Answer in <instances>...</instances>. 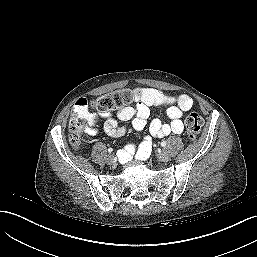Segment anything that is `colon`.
I'll return each instance as SVG.
<instances>
[{
    "instance_id": "obj_1",
    "label": "colon",
    "mask_w": 257,
    "mask_h": 257,
    "mask_svg": "<svg viewBox=\"0 0 257 257\" xmlns=\"http://www.w3.org/2000/svg\"><path fill=\"white\" fill-rule=\"evenodd\" d=\"M139 91L129 89L118 90L94 99L92 107L101 113H108L123 108L139 99ZM89 103L86 99H78L73 106V115L69 121L70 141L74 146L80 143L81 135L89 122ZM203 126V118L197 112H190L185 119L186 135L195 140Z\"/></svg>"
}]
</instances>
